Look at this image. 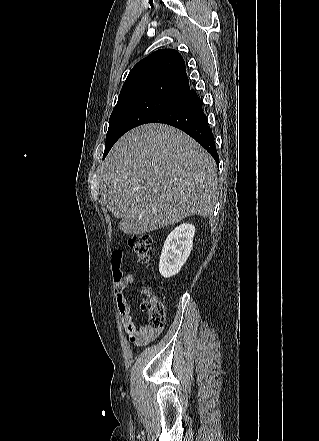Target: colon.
<instances>
[{
	"label": "colon",
	"mask_w": 319,
	"mask_h": 441,
	"mask_svg": "<svg viewBox=\"0 0 319 441\" xmlns=\"http://www.w3.org/2000/svg\"><path fill=\"white\" fill-rule=\"evenodd\" d=\"M129 246L142 263H148L152 251L153 241L147 234L135 235L129 239ZM115 286L122 287L123 273L119 264H113ZM145 296L142 309L148 314L149 324L153 328H161L166 320V305L158 300L148 290L143 291Z\"/></svg>",
	"instance_id": "obj_1"
}]
</instances>
